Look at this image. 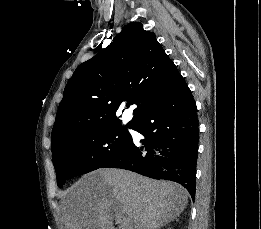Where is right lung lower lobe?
<instances>
[{"mask_svg": "<svg viewBox=\"0 0 261 229\" xmlns=\"http://www.w3.org/2000/svg\"><path fill=\"white\" fill-rule=\"evenodd\" d=\"M197 107L183 77L133 127L145 139L132 143L101 168H121L182 185L196 192L199 142Z\"/></svg>", "mask_w": 261, "mask_h": 229, "instance_id": "1", "label": "right lung lower lobe"}]
</instances>
